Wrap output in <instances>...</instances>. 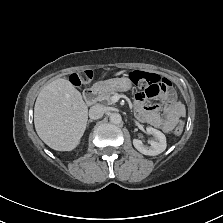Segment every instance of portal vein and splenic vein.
Masks as SVG:
<instances>
[{
  "label": "portal vein and splenic vein",
  "mask_w": 223,
  "mask_h": 223,
  "mask_svg": "<svg viewBox=\"0 0 223 223\" xmlns=\"http://www.w3.org/2000/svg\"><path fill=\"white\" fill-rule=\"evenodd\" d=\"M121 96L119 94H115L113 97H112V100L113 102H118L120 100Z\"/></svg>",
  "instance_id": "obj_1"
}]
</instances>
